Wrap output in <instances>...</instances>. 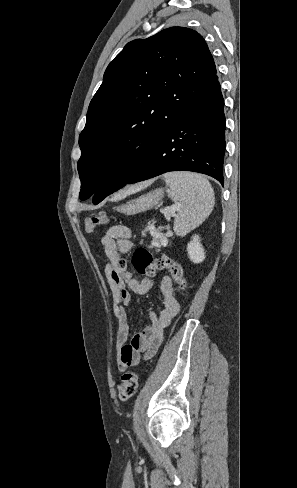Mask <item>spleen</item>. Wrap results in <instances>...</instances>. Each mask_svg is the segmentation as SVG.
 I'll use <instances>...</instances> for the list:
<instances>
[{"instance_id": "obj_1", "label": "spleen", "mask_w": 297, "mask_h": 488, "mask_svg": "<svg viewBox=\"0 0 297 488\" xmlns=\"http://www.w3.org/2000/svg\"><path fill=\"white\" fill-rule=\"evenodd\" d=\"M170 197L178 202L174 231L184 236L200 225L212 212L214 192L207 179L199 174L170 172L164 174Z\"/></svg>"}]
</instances>
